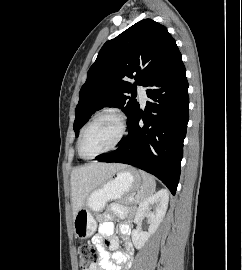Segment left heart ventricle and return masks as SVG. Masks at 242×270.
<instances>
[{
    "mask_svg": "<svg viewBox=\"0 0 242 270\" xmlns=\"http://www.w3.org/2000/svg\"><path fill=\"white\" fill-rule=\"evenodd\" d=\"M120 133L119 122L112 117H105L88 128L82 140V152L86 156L95 155L110 147Z\"/></svg>",
    "mask_w": 242,
    "mask_h": 270,
    "instance_id": "left-heart-ventricle-1",
    "label": "left heart ventricle"
}]
</instances>
